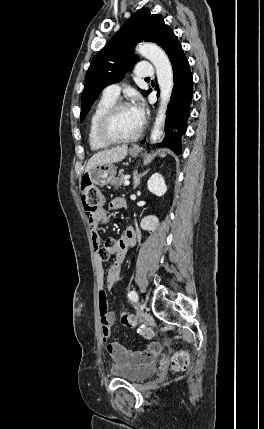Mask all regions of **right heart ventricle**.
Here are the masks:
<instances>
[{
    "label": "right heart ventricle",
    "instance_id": "e07e8e85",
    "mask_svg": "<svg viewBox=\"0 0 264 429\" xmlns=\"http://www.w3.org/2000/svg\"><path fill=\"white\" fill-rule=\"evenodd\" d=\"M115 102L114 99L102 96V98L95 105L89 119L88 125V141L93 150H102L107 148L110 144L103 142L97 134V125L104 114V112Z\"/></svg>",
    "mask_w": 264,
    "mask_h": 429
}]
</instances>
